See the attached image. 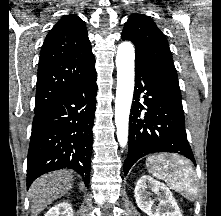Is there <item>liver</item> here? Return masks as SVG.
I'll list each match as a JSON object with an SVG mask.
<instances>
[{"mask_svg": "<svg viewBox=\"0 0 221 216\" xmlns=\"http://www.w3.org/2000/svg\"><path fill=\"white\" fill-rule=\"evenodd\" d=\"M73 182V175L67 170L54 171L36 179L29 189L33 216L67 194L72 189Z\"/></svg>", "mask_w": 221, "mask_h": 216, "instance_id": "obj_1", "label": "liver"}]
</instances>
